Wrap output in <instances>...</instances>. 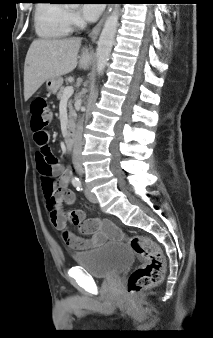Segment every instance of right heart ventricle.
Returning <instances> with one entry per match:
<instances>
[{
  "mask_svg": "<svg viewBox=\"0 0 213 338\" xmlns=\"http://www.w3.org/2000/svg\"><path fill=\"white\" fill-rule=\"evenodd\" d=\"M63 5L39 3L35 13L36 32L43 38L55 39L65 37L70 28L64 20Z\"/></svg>",
  "mask_w": 213,
  "mask_h": 338,
  "instance_id": "right-heart-ventricle-1",
  "label": "right heart ventricle"
}]
</instances>
